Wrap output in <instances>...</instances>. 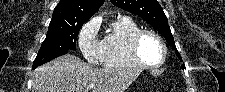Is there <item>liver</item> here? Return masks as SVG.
<instances>
[{
  "label": "liver",
  "mask_w": 225,
  "mask_h": 92,
  "mask_svg": "<svg viewBox=\"0 0 225 92\" xmlns=\"http://www.w3.org/2000/svg\"><path fill=\"white\" fill-rule=\"evenodd\" d=\"M136 69H96L66 54L33 72L32 92H124L139 76Z\"/></svg>",
  "instance_id": "liver-1"
}]
</instances>
